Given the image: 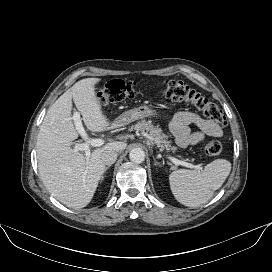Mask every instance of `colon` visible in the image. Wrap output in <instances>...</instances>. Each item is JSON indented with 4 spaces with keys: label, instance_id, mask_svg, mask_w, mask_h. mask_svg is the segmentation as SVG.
<instances>
[{
    "label": "colon",
    "instance_id": "1",
    "mask_svg": "<svg viewBox=\"0 0 272 272\" xmlns=\"http://www.w3.org/2000/svg\"><path fill=\"white\" fill-rule=\"evenodd\" d=\"M163 93L171 100L187 103L195 107L204 117L215 122L218 126L226 125V116L222 109L183 81L170 80L164 84ZM138 94L136 83L133 81L111 80L98 91L97 98L106 105L116 103ZM222 151L218 141H210L205 152L208 156H217Z\"/></svg>",
    "mask_w": 272,
    "mask_h": 272
}]
</instances>
